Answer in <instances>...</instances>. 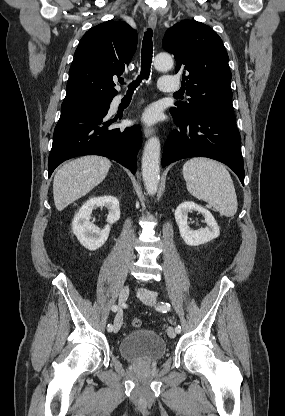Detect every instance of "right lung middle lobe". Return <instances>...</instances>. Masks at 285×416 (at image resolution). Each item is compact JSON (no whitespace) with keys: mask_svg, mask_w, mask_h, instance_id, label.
<instances>
[{"mask_svg":"<svg viewBox=\"0 0 285 416\" xmlns=\"http://www.w3.org/2000/svg\"><path fill=\"white\" fill-rule=\"evenodd\" d=\"M111 101L67 102L61 105V116L89 111L108 110Z\"/></svg>","mask_w":285,"mask_h":416,"instance_id":"obj_1","label":"right lung middle lobe"}]
</instances>
